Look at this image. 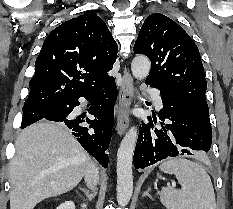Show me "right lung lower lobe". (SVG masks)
<instances>
[{"mask_svg":"<svg viewBox=\"0 0 233 209\" xmlns=\"http://www.w3.org/2000/svg\"><path fill=\"white\" fill-rule=\"evenodd\" d=\"M84 97L91 102L89 113L94 120L85 116H74L72 111L79 105L78 99ZM117 98V87L113 77L99 87L68 100L64 107L52 112L41 120L60 122L71 129L72 134L89 154L106 168L108 156L105 154L110 140L114 123L113 106ZM88 123L89 126H86Z\"/></svg>","mask_w":233,"mask_h":209,"instance_id":"obj_1","label":"right lung lower lobe"}]
</instances>
